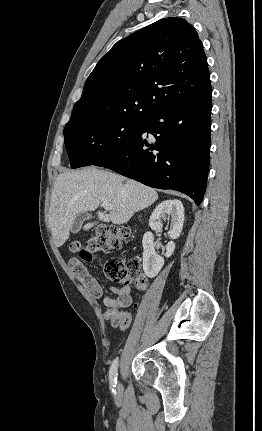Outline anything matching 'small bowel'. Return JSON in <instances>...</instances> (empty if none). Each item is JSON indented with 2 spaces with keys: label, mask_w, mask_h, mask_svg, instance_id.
<instances>
[{
  "label": "small bowel",
  "mask_w": 262,
  "mask_h": 431,
  "mask_svg": "<svg viewBox=\"0 0 262 431\" xmlns=\"http://www.w3.org/2000/svg\"><path fill=\"white\" fill-rule=\"evenodd\" d=\"M70 267L73 269L75 277L84 286V288L95 298H103V304L106 307V317L120 314L121 308H127L135 305L134 300L131 296V289L128 286H124L120 289H115L116 297H104L103 286L92 277L87 268L83 266L76 258L69 260ZM80 266V270H76V267ZM128 316L129 314L126 313ZM130 317V316H129ZM123 330V328H120ZM125 329V328H124Z\"/></svg>",
  "instance_id": "obj_1"
}]
</instances>
